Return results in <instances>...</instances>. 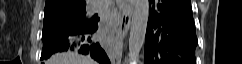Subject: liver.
<instances>
[{
  "label": "liver",
  "mask_w": 242,
  "mask_h": 64,
  "mask_svg": "<svg viewBox=\"0 0 242 64\" xmlns=\"http://www.w3.org/2000/svg\"><path fill=\"white\" fill-rule=\"evenodd\" d=\"M48 64H97L90 57L80 55L78 53H59L48 61Z\"/></svg>",
  "instance_id": "1"
}]
</instances>
